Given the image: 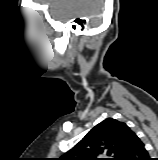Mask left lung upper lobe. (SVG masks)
I'll use <instances>...</instances> for the list:
<instances>
[{
  "instance_id": "1",
  "label": "left lung upper lobe",
  "mask_w": 158,
  "mask_h": 160,
  "mask_svg": "<svg viewBox=\"0 0 158 160\" xmlns=\"http://www.w3.org/2000/svg\"><path fill=\"white\" fill-rule=\"evenodd\" d=\"M135 135L125 123L108 118L58 160H125Z\"/></svg>"
}]
</instances>
